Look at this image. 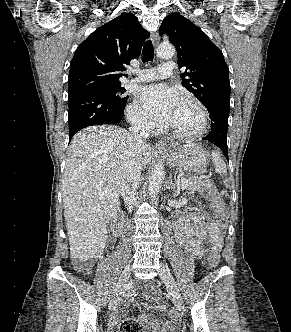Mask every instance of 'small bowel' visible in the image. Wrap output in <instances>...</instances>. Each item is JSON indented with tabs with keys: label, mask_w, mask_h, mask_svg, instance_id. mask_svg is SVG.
Masks as SVG:
<instances>
[{
	"label": "small bowel",
	"mask_w": 291,
	"mask_h": 332,
	"mask_svg": "<svg viewBox=\"0 0 291 332\" xmlns=\"http://www.w3.org/2000/svg\"><path fill=\"white\" fill-rule=\"evenodd\" d=\"M176 236L178 243L185 249L187 254L197 260L203 259L206 249L204 242L208 239L210 247L216 252L220 249L223 239V230L216 224V222L209 216H202L199 219L191 222L181 220L176 225ZM135 292L131 291L128 296L129 301H133ZM145 299L155 302L159 311H166L167 306L161 300L159 292L155 287L150 286L145 294ZM138 320L147 325L151 332H171L173 325L170 321L163 324L150 323L148 316L144 313L138 315L135 320ZM118 318H115L117 321Z\"/></svg>",
	"instance_id": "obj_1"
}]
</instances>
